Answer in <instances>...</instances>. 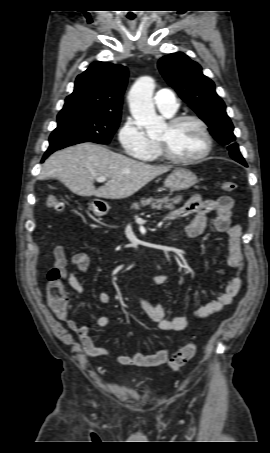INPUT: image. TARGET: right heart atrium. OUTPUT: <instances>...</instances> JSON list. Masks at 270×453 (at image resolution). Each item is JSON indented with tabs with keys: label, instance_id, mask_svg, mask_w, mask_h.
<instances>
[{
	"label": "right heart atrium",
	"instance_id": "d8ad5b80",
	"mask_svg": "<svg viewBox=\"0 0 270 453\" xmlns=\"http://www.w3.org/2000/svg\"><path fill=\"white\" fill-rule=\"evenodd\" d=\"M118 140L124 153L135 158L144 157L153 146V142L131 117L122 123L118 131Z\"/></svg>",
	"mask_w": 270,
	"mask_h": 453
}]
</instances>
